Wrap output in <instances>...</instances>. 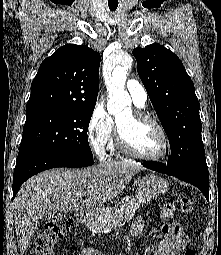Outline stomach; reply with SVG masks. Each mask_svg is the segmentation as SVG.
Masks as SVG:
<instances>
[{"label": "stomach", "instance_id": "1", "mask_svg": "<svg viewBox=\"0 0 221 255\" xmlns=\"http://www.w3.org/2000/svg\"><path fill=\"white\" fill-rule=\"evenodd\" d=\"M168 188L167 180L153 174L143 177L137 185L138 194L142 202H149L159 198L168 191Z\"/></svg>", "mask_w": 221, "mask_h": 255}]
</instances>
